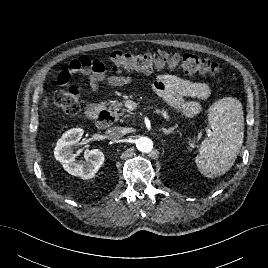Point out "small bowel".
I'll list each match as a JSON object with an SVG mask.
<instances>
[{
	"mask_svg": "<svg viewBox=\"0 0 268 268\" xmlns=\"http://www.w3.org/2000/svg\"><path fill=\"white\" fill-rule=\"evenodd\" d=\"M69 67L72 71L81 72L87 77L91 93H96L101 83L121 87L131 82V76L126 73H108L103 62L96 58L81 56L72 60ZM153 89L174 110L188 117L200 112L201 105L198 100H205L211 96V88L207 83L189 81L172 74L158 76L153 83ZM186 97L196 100L188 101Z\"/></svg>",
	"mask_w": 268,
	"mask_h": 268,
	"instance_id": "obj_1",
	"label": "small bowel"
}]
</instances>
